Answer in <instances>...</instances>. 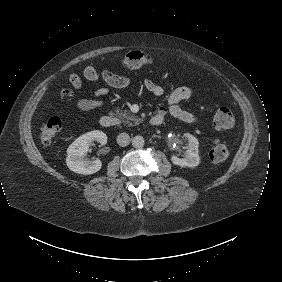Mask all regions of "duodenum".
<instances>
[{"label":"duodenum","mask_w":282,"mask_h":282,"mask_svg":"<svg viewBox=\"0 0 282 282\" xmlns=\"http://www.w3.org/2000/svg\"><path fill=\"white\" fill-rule=\"evenodd\" d=\"M163 119L160 116H155L151 119L153 125H160ZM100 125L104 128H111L115 125V119L110 115H104L100 118Z\"/></svg>","instance_id":"410a0bca"}]
</instances>
